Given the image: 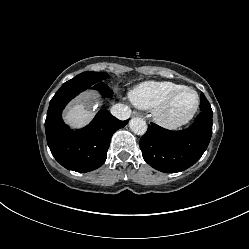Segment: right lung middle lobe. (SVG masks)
I'll list each match as a JSON object with an SVG mask.
<instances>
[{"instance_id": "right-lung-middle-lobe-1", "label": "right lung middle lobe", "mask_w": 249, "mask_h": 249, "mask_svg": "<svg viewBox=\"0 0 249 249\" xmlns=\"http://www.w3.org/2000/svg\"><path fill=\"white\" fill-rule=\"evenodd\" d=\"M107 78H109V75L107 73L86 71V72H83V73L77 75L73 79H75V80H79V79L88 80L92 84H95L98 82H103Z\"/></svg>"}]
</instances>
